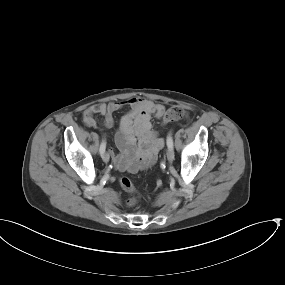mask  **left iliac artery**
<instances>
[{
    "instance_id": "1",
    "label": "left iliac artery",
    "mask_w": 285,
    "mask_h": 285,
    "mask_svg": "<svg viewBox=\"0 0 285 285\" xmlns=\"http://www.w3.org/2000/svg\"><path fill=\"white\" fill-rule=\"evenodd\" d=\"M166 141H167V146H168V148H170V147L173 148V139H172L171 134H169V135L167 136Z\"/></svg>"
}]
</instances>
